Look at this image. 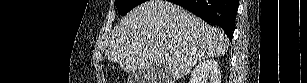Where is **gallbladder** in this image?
Wrapping results in <instances>:
<instances>
[{"label": "gallbladder", "mask_w": 307, "mask_h": 83, "mask_svg": "<svg viewBox=\"0 0 307 83\" xmlns=\"http://www.w3.org/2000/svg\"><path fill=\"white\" fill-rule=\"evenodd\" d=\"M165 75L169 77L168 73L163 71L162 68L150 67L131 73L129 80L131 83H165L167 80Z\"/></svg>", "instance_id": "gallbladder-1"}]
</instances>
